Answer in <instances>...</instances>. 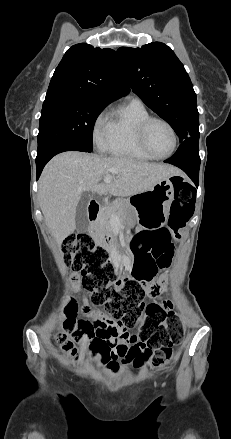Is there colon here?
I'll return each mask as SVG.
<instances>
[{
	"label": "colon",
	"mask_w": 231,
	"mask_h": 439,
	"mask_svg": "<svg viewBox=\"0 0 231 439\" xmlns=\"http://www.w3.org/2000/svg\"><path fill=\"white\" fill-rule=\"evenodd\" d=\"M176 200L171 205L169 227L179 234L194 212V189L183 180L174 181ZM142 239L137 235L131 242L133 251ZM64 261L73 271L80 274L82 286L91 294L95 304L103 305L107 314L127 328L134 327L143 311L146 315L140 324V338L154 349L152 364L158 368L170 360L172 347L182 339V325L179 317L159 305H146L144 298L148 288H155L151 280L156 269L137 263L130 276L120 278L109 258L107 249L98 244L89 234H77L67 237L62 245ZM171 264L170 255L160 257L158 268H167ZM64 332L59 334L57 342L66 353L75 350L76 305L73 300L67 306ZM86 330L85 328L81 327ZM92 348L101 355V360L111 369L118 364L109 349L92 343ZM147 354H139L134 360L137 367L147 360Z\"/></svg>",
	"instance_id": "colon-1"
}]
</instances>
